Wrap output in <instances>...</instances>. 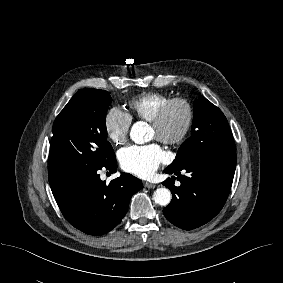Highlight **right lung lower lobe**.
<instances>
[{"mask_svg":"<svg viewBox=\"0 0 283 283\" xmlns=\"http://www.w3.org/2000/svg\"><path fill=\"white\" fill-rule=\"evenodd\" d=\"M115 172V156L101 168L79 173L51 185L54 198L66 220L89 235L111 231L125 216L131 197L142 188L140 179L128 173L109 184L100 179L99 170Z\"/></svg>","mask_w":283,"mask_h":283,"instance_id":"obj_1","label":"right lung lower lobe"}]
</instances>
